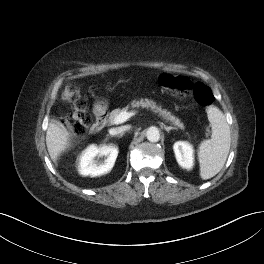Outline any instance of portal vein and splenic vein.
<instances>
[{"mask_svg": "<svg viewBox=\"0 0 264 264\" xmlns=\"http://www.w3.org/2000/svg\"><path fill=\"white\" fill-rule=\"evenodd\" d=\"M135 114L136 112H127L126 110H124L114 118L113 124H116V125L122 124L126 122L129 118L134 116Z\"/></svg>", "mask_w": 264, "mask_h": 264, "instance_id": "portal-vein-and-splenic-vein-1", "label": "portal vein and splenic vein"}]
</instances>
